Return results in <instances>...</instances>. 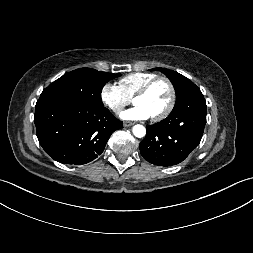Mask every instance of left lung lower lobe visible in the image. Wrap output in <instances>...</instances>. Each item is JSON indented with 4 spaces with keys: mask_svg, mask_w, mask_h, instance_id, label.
Segmentation results:
<instances>
[{
    "mask_svg": "<svg viewBox=\"0 0 253 253\" xmlns=\"http://www.w3.org/2000/svg\"><path fill=\"white\" fill-rule=\"evenodd\" d=\"M205 124L206 102L195 86L166 119L147 126L139 146L141 155L158 166L179 164L199 145Z\"/></svg>",
    "mask_w": 253,
    "mask_h": 253,
    "instance_id": "left-lung-lower-lobe-1",
    "label": "left lung lower lobe"
}]
</instances>
